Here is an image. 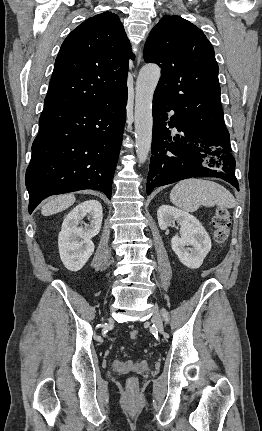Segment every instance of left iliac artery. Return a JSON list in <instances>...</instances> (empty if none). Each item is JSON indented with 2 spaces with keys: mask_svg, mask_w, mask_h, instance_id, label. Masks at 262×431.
Here are the masks:
<instances>
[{
  "mask_svg": "<svg viewBox=\"0 0 262 431\" xmlns=\"http://www.w3.org/2000/svg\"><path fill=\"white\" fill-rule=\"evenodd\" d=\"M163 317H164L165 321L168 322L169 316H168V313L166 312V310H163Z\"/></svg>",
  "mask_w": 262,
  "mask_h": 431,
  "instance_id": "obj_1",
  "label": "left iliac artery"
}]
</instances>
